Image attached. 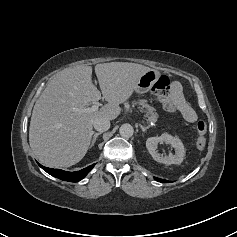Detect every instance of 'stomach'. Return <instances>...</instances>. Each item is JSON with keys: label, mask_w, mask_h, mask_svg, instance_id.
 <instances>
[{"label": "stomach", "mask_w": 237, "mask_h": 237, "mask_svg": "<svg viewBox=\"0 0 237 237\" xmlns=\"http://www.w3.org/2000/svg\"><path fill=\"white\" fill-rule=\"evenodd\" d=\"M159 77L160 73L157 70L150 69L139 78L134 90L139 94L148 92Z\"/></svg>", "instance_id": "0dacf381"}]
</instances>
